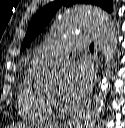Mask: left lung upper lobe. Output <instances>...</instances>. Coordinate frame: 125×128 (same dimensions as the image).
<instances>
[{
  "label": "left lung upper lobe",
  "mask_w": 125,
  "mask_h": 128,
  "mask_svg": "<svg viewBox=\"0 0 125 128\" xmlns=\"http://www.w3.org/2000/svg\"><path fill=\"white\" fill-rule=\"evenodd\" d=\"M76 3H85L100 6L108 12H112V0H69V1H57L51 2L39 10L31 19L26 36L23 40L21 51H23L27 45L41 33L49 21L52 19L57 10L62 6H71Z\"/></svg>",
  "instance_id": "obj_1"
}]
</instances>
